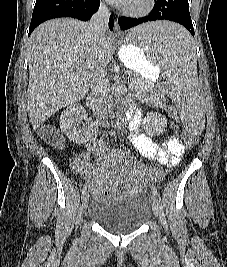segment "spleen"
<instances>
[{"label": "spleen", "instance_id": "spleen-1", "mask_svg": "<svg viewBox=\"0 0 227 267\" xmlns=\"http://www.w3.org/2000/svg\"><path fill=\"white\" fill-rule=\"evenodd\" d=\"M124 43L130 47H142L147 59L153 63H161L163 76L159 81H166L169 94L176 99L179 115H202L200 110L202 97L197 77V60L193 43L187 29L175 19H151L142 25L132 27L125 34ZM185 129L189 134H202L206 129V116H182Z\"/></svg>", "mask_w": 227, "mask_h": 267}]
</instances>
